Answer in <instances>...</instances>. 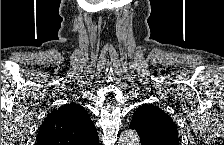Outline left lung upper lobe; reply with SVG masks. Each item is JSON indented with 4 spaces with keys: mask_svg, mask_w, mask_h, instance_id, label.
I'll use <instances>...</instances> for the list:
<instances>
[{
    "mask_svg": "<svg viewBox=\"0 0 224 145\" xmlns=\"http://www.w3.org/2000/svg\"><path fill=\"white\" fill-rule=\"evenodd\" d=\"M130 125L152 145H179L173 119L156 105H141L134 113Z\"/></svg>",
    "mask_w": 224,
    "mask_h": 145,
    "instance_id": "obj_1",
    "label": "left lung upper lobe"
}]
</instances>
